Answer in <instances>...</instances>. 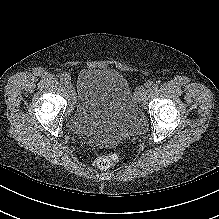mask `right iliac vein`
I'll return each instance as SVG.
<instances>
[{
    "instance_id": "63e3f726",
    "label": "right iliac vein",
    "mask_w": 219,
    "mask_h": 219,
    "mask_svg": "<svg viewBox=\"0 0 219 219\" xmlns=\"http://www.w3.org/2000/svg\"><path fill=\"white\" fill-rule=\"evenodd\" d=\"M66 87H67V89L69 90V92L73 95L74 90H73L72 85H71L70 83H67V84H66Z\"/></svg>"
}]
</instances>
